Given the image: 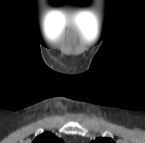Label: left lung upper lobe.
Returning <instances> with one entry per match:
<instances>
[{"label":"left lung upper lobe","instance_id":"5c2ea615","mask_svg":"<svg viewBox=\"0 0 145 143\" xmlns=\"http://www.w3.org/2000/svg\"><path fill=\"white\" fill-rule=\"evenodd\" d=\"M94 143H114L110 138H97Z\"/></svg>","mask_w":145,"mask_h":143}]
</instances>
